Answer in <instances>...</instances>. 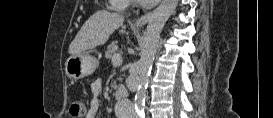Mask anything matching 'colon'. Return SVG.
I'll return each instance as SVG.
<instances>
[{
    "mask_svg": "<svg viewBox=\"0 0 273 118\" xmlns=\"http://www.w3.org/2000/svg\"><path fill=\"white\" fill-rule=\"evenodd\" d=\"M69 112L72 117H83L85 114V105L80 99H74L70 103Z\"/></svg>",
    "mask_w": 273,
    "mask_h": 118,
    "instance_id": "1",
    "label": "colon"
}]
</instances>
